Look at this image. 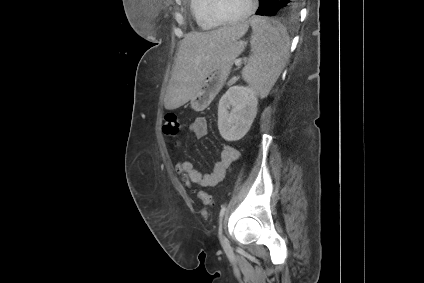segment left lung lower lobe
<instances>
[{
    "label": "left lung lower lobe",
    "mask_w": 424,
    "mask_h": 283,
    "mask_svg": "<svg viewBox=\"0 0 424 283\" xmlns=\"http://www.w3.org/2000/svg\"><path fill=\"white\" fill-rule=\"evenodd\" d=\"M301 0H259L256 15L275 16L281 11H296Z\"/></svg>",
    "instance_id": "1"
}]
</instances>
